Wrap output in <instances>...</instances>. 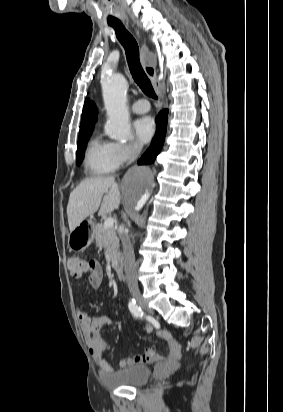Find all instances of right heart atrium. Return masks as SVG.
I'll return each instance as SVG.
<instances>
[{
    "mask_svg": "<svg viewBox=\"0 0 283 412\" xmlns=\"http://www.w3.org/2000/svg\"><path fill=\"white\" fill-rule=\"evenodd\" d=\"M141 151L136 141L113 143V157L118 165L132 161Z\"/></svg>",
    "mask_w": 283,
    "mask_h": 412,
    "instance_id": "right-heart-atrium-1",
    "label": "right heart atrium"
}]
</instances>
